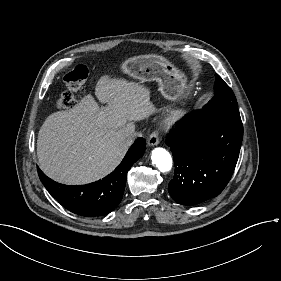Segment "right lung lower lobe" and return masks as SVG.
<instances>
[{
  "label": "right lung lower lobe",
  "mask_w": 281,
  "mask_h": 281,
  "mask_svg": "<svg viewBox=\"0 0 281 281\" xmlns=\"http://www.w3.org/2000/svg\"><path fill=\"white\" fill-rule=\"evenodd\" d=\"M145 151V140L139 138L128 150L120 165L104 179L86 185H64L48 178L40 169L41 182L49 193L71 212L91 217L104 216L120 203L127 173Z\"/></svg>",
  "instance_id": "right-lung-lower-lobe-1"
}]
</instances>
